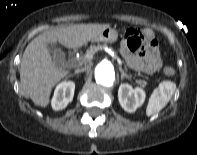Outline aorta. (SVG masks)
Segmentation results:
<instances>
[{"label":"aorta","mask_w":197,"mask_h":155,"mask_svg":"<svg viewBox=\"0 0 197 155\" xmlns=\"http://www.w3.org/2000/svg\"><path fill=\"white\" fill-rule=\"evenodd\" d=\"M96 82L102 86L110 87L115 80V69L111 62L101 61L95 68Z\"/></svg>","instance_id":"1"}]
</instances>
